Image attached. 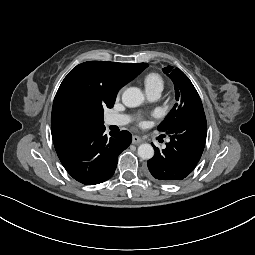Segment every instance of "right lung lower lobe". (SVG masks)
<instances>
[{
	"instance_id": "98d812e1",
	"label": "right lung lower lobe",
	"mask_w": 255,
	"mask_h": 255,
	"mask_svg": "<svg viewBox=\"0 0 255 255\" xmlns=\"http://www.w3.org/2000/svg\"><path fill=\"white\" fill-rule=\"evenodd\" d=\"M105 126L54 138L57 155L66 171L86 185L102 183L115 172L119 154L132 141L128 131L104 134Z\"/></svg>"
}]
</instances>
